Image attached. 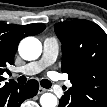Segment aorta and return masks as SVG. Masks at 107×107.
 <instances>
[{
	"mask_svg": "<svg viewBox=\"0 0 107 107\" xmlns=\"http://www.w3.org/2000/svg\"><path fill=\"white\" fill-rule=\"evenodd\" d=\"M42 53V44L35 37H27L19 44V54L24 60H35ZM42 107H56L58 105L57 97L52 93H44L40 97Z\"/></svg>",
	"mask_w": 107,
	"mask_h": 107,
	"instance_id": "aorta-1",
	"label": "aorta"
}]
</instances>
